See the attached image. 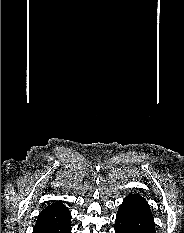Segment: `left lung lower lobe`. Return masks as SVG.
<instances>
[{
    "instance_id": "left-lung-lower-lobe-1",
    "label": "left lung lower lobe",
    "mask_w": 184,
    "mask_h": 233,
    "mask_svg": "<svg viewBox=\"0 0 184 233\" xmlns=\"http://www.w3.org/2000/svg\"><path fill=\"white\" fill-rule=\"evenodd\" d=\"M115 233H156L147 201L138 194L127 196L119 207Z\"/></svg>"
}]
</instances>
